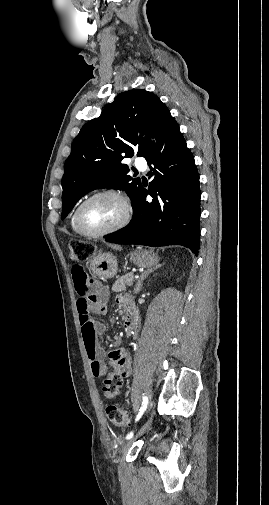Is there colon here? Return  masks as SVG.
I'll use <instances>...</instances> for the list:
<instances>
[{"label":"colon","instance_id":"colon-1","mask_svg":"<svg viewBox=\"0 0 269 505\" xmlns=\"http://www.w3.org/2000/svg\"><path fill=\"white\" fill-rule=\"evenodd\" d=\"M91 255L92 250L88 245L78 242H73L71 244V259L75 263L80 264L85 262ZM95 296L98 298L97 295ZM121 384L122 379L120 376L111 373L103 378L102 391L106 397L112 398L118 393ZM106 415L111 424L118 429H125L130 424L129 414L115 404L107 405Z\"/></svg>","mask_w":269,"mask_h":505}]
</instances>
